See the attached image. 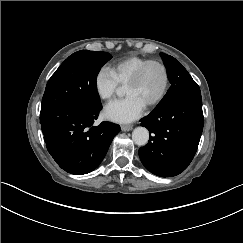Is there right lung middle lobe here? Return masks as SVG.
<instances>
[{
    "label": "right lung middle lobe",
    "instance_id": "1",
    "mask_svg": "<svg viewBox=\"0 0 243 243\" xmlns=\"http://www.w3.org/2000/svg\"><path fill=\"white\" fill-rule=\"evenodd\" d=\"M112 58L107 52L81 50L69 56L49 79L41 103V114L66 103L101 105L96 77Z\"/></svg>",
    "mask_w": 243,
    "mask_h": 243
}]
</instances>
